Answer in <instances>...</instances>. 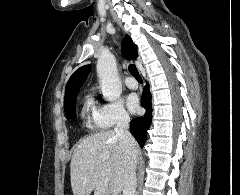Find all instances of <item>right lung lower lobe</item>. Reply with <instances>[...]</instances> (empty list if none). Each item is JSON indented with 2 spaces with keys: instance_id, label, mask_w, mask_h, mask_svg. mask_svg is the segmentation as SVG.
I'll list each match as a JSON object with an SVG mask.
<instances>
[{
  "instance_id": "obj_1",
  "label": "right lung lower lobe",
  "mask_w": 240,
  "mask_h": 195,
  "mask_svg": "<svg viewBox=\"0 0 240 195\" xmlns=\"http://www.w3.org/2000/svg\"><path fill=\"white\" fill-rule=\"evenodd\" d=\"M141 105L146 109V113L139 118H134L130 123V131L141 147L147 139V130L152 121V103L149 84L147 83L142 94Z\"/></svg>"
}]
</instances>
